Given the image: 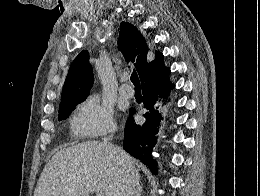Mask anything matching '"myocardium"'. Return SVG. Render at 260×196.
I'll list each match as a JSON object with an SVG mask.
<instances>
[{
    "label": "myocardium",
    "instance_id": "1",
    "mask_svg": "<svg viewBox=\"0 0 260 196\" xmlns=\"http://www.w3.org/2000/svg\"><path fill=\"white\" fill-rule=\"evenodd\" d=\"M50 192H55V190H50Z\"/></svg>",
    "mask_w": 260,
    "mask_h": 196
}]
</instances>
